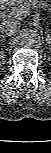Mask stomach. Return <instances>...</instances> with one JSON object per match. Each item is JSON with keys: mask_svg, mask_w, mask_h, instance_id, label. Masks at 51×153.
Segmentation results:
<instances>
[{"mask_svg": "<svg viewBox=\"0 0 51 153\" xmlns=\"http://www.w3.org/2000/svg\"><path fill=\"white\" fill-rule=\"evenodd\" d=\"M24 1H27V0H16V3H22Z\"/></svg>", "mask_w": 51, "mask_h": 153, "instance_id": "stomach-1", "label": "stomach"}]
</instances>
